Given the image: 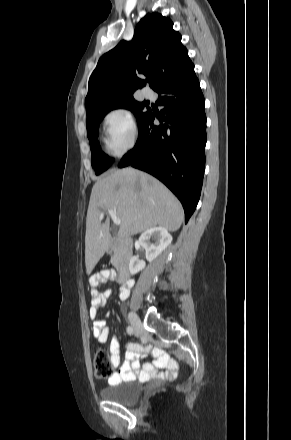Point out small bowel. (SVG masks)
I'll return each mask as SVG.
<instances>
[{
	"mask_svg": "<svg viewBox=\"0 0 291 440\" xmlns=\"http://www.w3.org/2000/svg\"><path fill=\"white\" fill-rule=\"evenodd\" d=\"M117 274L114 271L104 270L103 272L90 278L88 282L91 307L89 309V316L93 322L92 334L99 343H105L108 339L110 329L106 326L103 319L98 318V309L105 303L110 296V291L100 293L98 287L100 284L106 285L110 281L115 280ZM133 287V282L123 283L120 291V298L125 300L129 296L130 290ZM134 347L129 345V350L126 354L125 361L121 362L120 343L116 336L112 338L110 344V364L113 368L111 375L108 377V384L113 386L123 381L134 380L135 378L146 379L149 377L156 379H164L172 377L177 370V361L165 354L160 348L152 345H145L138 348L139 352L151 351L157 355L153 362H148L144 368H140V362L133 352Z\"/></svg>",
	"mask_w": 291,
	"mask_h": 440,
	"instance_id": "1",
	"label": "small bowel"
}]
</instances>
